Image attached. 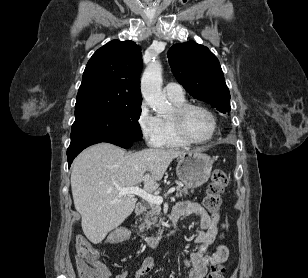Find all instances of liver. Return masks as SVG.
<instances>
[{
	"mask_svg": "<svg viewBox=\"0 0 308 278\" xmlns=\"http://www.w3.org/2000/svg\"><path fill=\"white\" fill-rule=\"evenodd\" d=\"M185 153L180 149L149 148L126 154L110 143L82 151L73 163L71 189L89 241L100 243L133 212L137 199L131 195L119 197L118 187L143 182L145 191H155L170 163Z\"/></svg>",
	"mask_w": 308,
	"mask_h": 278,
	"instance_id": "obj_1",
	"label": "liver"
}]
</instances>
